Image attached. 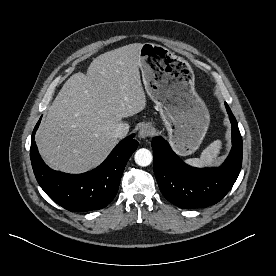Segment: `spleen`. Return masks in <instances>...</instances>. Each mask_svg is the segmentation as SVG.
Wrapping results in <instances>:
<instances>
[{"label": "spleen", "mask_w": 276, "mask_h": 276, "mask_svg": "<svg viewBox=\"0 0 276 276\" xmlns=\"http://www.w3.org/2000/svg\"><path fill=\"white\" fill-rule=\"evenodd\" d=\"M221 147L222 142L220 140H216L203 151L200 158L186 159L185 163L192 167L199 168L211 166L217 158L218 154L220 153Z\"/></svg>", "instance_id": "1"}]
</instances>
